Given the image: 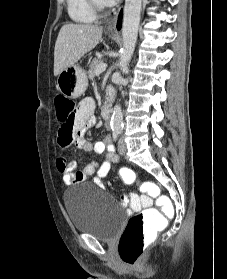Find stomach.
<instances>
[{"instance_id": "0dacf381", "label": "stomach", "mask_w": 227, "mask_h": 279, "mask_svg": "<svg viewBox=\"0 0 227 279\" xmlns=\"http://www.w3.org/2000/svg\"><path fill=\"white\" fill-rule=\"evenodd\" d=\"M87 86L86 73L78 64L67 67L57 77L58 90L72 99L80 97L87 89Z\"/></svg>"}]
</instances>
